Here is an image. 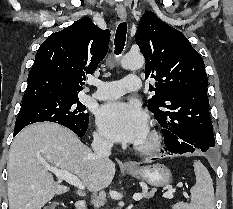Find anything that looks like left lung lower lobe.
<instances>
[{"label":"left lung lower lobe","mask_w":233,"mask_h":209,"mask_svg":"<svg viewBox=\"0 0 233 209\" xmlns=\"http://www.w3.org/2000/svg\"><path fill=\"white\" fill-rule=\"evenodd\" d=\"M166 149L171 153H185V152H210L211 147L208 144L197 142L191 138L186 137L180 132L171 129H162ZM162 152H164L162 150Z\"/></svg>","instance_id":"obj_1"}]
</instances>
